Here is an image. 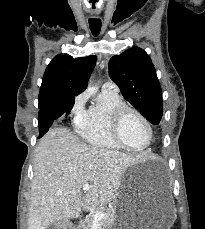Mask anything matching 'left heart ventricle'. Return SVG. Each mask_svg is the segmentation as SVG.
I'll list each match as a JSON object with an SVG mask.
<instances>
[{
  "label": "left heart ventricle",
  "mask_w": 205,
  "mask_h": 229,
  "mask_svg": "<svg viewBox=\"0 0 205 229\" xmlns=\"http://www.w3.org/2000/svg\"><path fill=\"white\" fill-rule=\"evenodd\" d=\"M124 142L134 148L143 147L148 141V130L145 124L134 114H128L121 127Z\"/></svg>",
  "instance_id": "1"
}]
</instances>
